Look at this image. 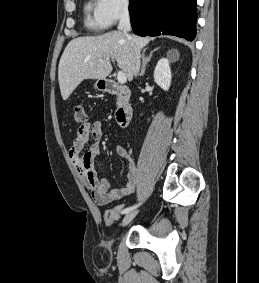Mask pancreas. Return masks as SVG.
I'll list each match as a JSON object with an SVG mask.
<instances>
[{
	"label": "pancreas",
	"mask_w": 259,
	"mask_h": 283,
	"mask_svg": "<svg viewBox=\"0 0 259 283\" xmlns=\"http://www.w3.org/2000/svg\"><path fill=\"white\" fill-rule=\"evenodd\" d=\"M120 103V97H117V105Z\"/></svg>",
	"instance_id": "1"
}]
</instances>
